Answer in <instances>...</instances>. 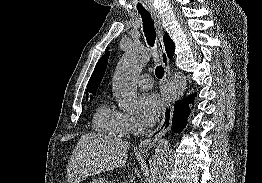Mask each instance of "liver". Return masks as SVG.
<instances>
[{"label":"liver","instance_id":"1","mask_svg":"<svg viewBox=\"0 0 262 183\" xmlns=\"http://www.w3.org/2000/svg\"><path fill=\"white\" fill-rule=\"evenodd\" d=\"M129 148V142L103 133L83 135L68 162V183H80L88 176L122 168Z\"/></svg>","mask_w":262,"mask_h":183}]
</instances>
